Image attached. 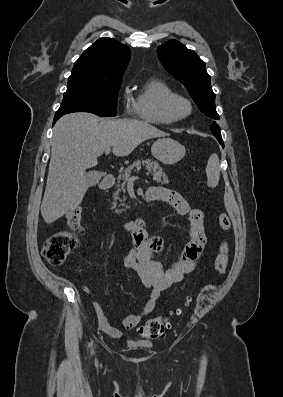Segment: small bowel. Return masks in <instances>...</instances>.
Instances as JSON below:
<instances>
[{"instance_id": "small-bowel-1", "label": "small bowel", "mask_w": 283, "mask_h": 397, "mask_svg": "<svg viewBox=\"0 0 283 397\" xmlns=\"http://www.w3.org/2000/svg\"><path fill=\"white\" fill-rule=\"evenodd\" d=\"M150 201L163 203L181 215L190 216V241L177 253L170 264L158 256L168 252L164 240L159 236H150L144 228L131 233L134 249L123 260V267L134 271L143 286L148 290V298L143 309L120 320L125 330L136 327L156 306L161 292L192 273L207 253L209 240L204 227V216L199 209L191 208L176 191L154 186L146 192ZM100 330L114 338H120L122 331L110 324L98 304L93 305Z\"/></svg>"}]
</instances>
